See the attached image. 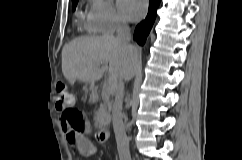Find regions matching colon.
Wrapping results in <instances>:
<instances>
[{"mask_svg": "<svg viewBox=\"0 0 242 160\" xmlns=\"http://www.w3.org/2000/svg\"><path fill=\"white\" fill-rule=\"evenodd\" d=\"M73 96L64 82L56 85L55 105L61 112V118L67 122L70 129L74 132H82L86 121L83 113L71 106Z\"/></svg>", "mask_w": 242, "mask_h": 160, "instance_id": "1", "label": "colon"}]
</instances>
